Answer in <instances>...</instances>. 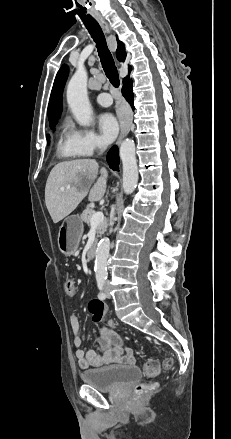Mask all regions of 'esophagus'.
I'll return each instance as SVG.
<instances>
[{"label":"esophagus","mask_w":231,"mask_h":439,"mask_svg":"<svg viewBox=\"0 0 231 439\" xmlns=\"http://www.w3.org/2000/svg\"><path fill=\"white\" fill-rule=\"evenodd\" d=\"M96 18L99 21V23L101 24V26L103 27V29L105 30V32L110 33V28H109L108 24L106 23V21L100 15H96ZM129 130H130V122L125 121L121 125V131H120L118 140L116 142L117 145H119L121 143L123 138L128 134Z\"/></svg>","instance_id":"1"}]
</instances>
